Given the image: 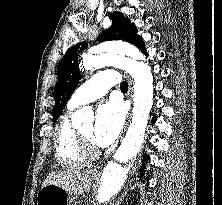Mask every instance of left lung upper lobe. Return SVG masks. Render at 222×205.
Listing matches in <instances>:
<instances>
[{"mask_svg":"<svg viewBox=\"0 0 222 205\" xmlns=\"http://www.w3.org/2000/svg\"><path fill=\"white\" fill-rule=\"evenodd\" d=\"M112 25L102 32L98 41L124 40L140 47L142 36L137 35V28L131 20L120 12L111 14ZM87 47L86 42L78 43L65 53L57 67L58 82L54 89L55 105L52 110L53 121L60 116L80 79L78 53Z\"/></svg>","mask_w":222,"mask_h":205,"instance_id":"5c2ea615","label":"left lung upper lobe"}]
</instances>
